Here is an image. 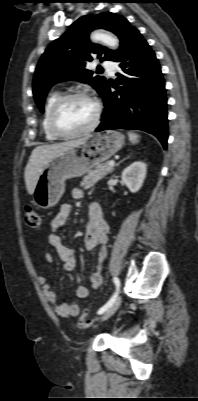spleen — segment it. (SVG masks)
I'll list each match as a JSON object with an SVG mask.
<instances>
[{
    "label": "spleen",
    "instance_id": "obj_1",
    "mask_svg": "<svg viewBox=\"0 0 198 401\" xmlns=\"http://www.w3.org/2000/svg\"><path fill=\"white\" fill-rule=\"evenodd\" d=\"M128 137H129V141L132 144H136V143L139 142L140 136L138 134L134 133V132H128Z\"/></svg>",
    "mask_w": 198,
    "mask_h": 401
}]
</instances>
